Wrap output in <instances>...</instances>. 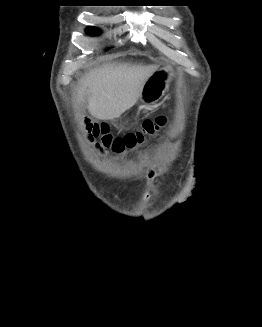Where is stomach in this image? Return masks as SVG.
Instances as JSON below:
<instances>
[{"mask_svg": "<svg viewBox=\"0 0 262 327\" xmlns=\"http://www.w3.org/2000/svg\"><path fill=\"white\" fill-rule=\"evenodd\" d=\"M174 71L170 66L157 69L145 82L139 101L143 107L155 105L168 90Z\"/></svg>", "mask_w": 262, "mask_h": 327, "instance_id": "1", "label": "stomach"}]
</instances>
